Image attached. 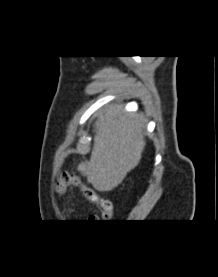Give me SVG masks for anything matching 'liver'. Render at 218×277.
<instances>
[{
	"mask_svg": "<svg viewBox=\"0 0 218 277\" xmlns=\"http://www.w3.org/2000/svg\"><path fill=\"white\" fill-rule=\"evenodd\" d=\"M90 160L77 169L100 192L113 190L140 162L146 142L144 124L122 106H110L95 122Z\"/></svg>",
	"mask_w": 218,
	"mask_h": 277,
	"instance_id": "6515ba94",
	"label": "liver"
}]
</instances>
